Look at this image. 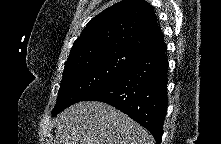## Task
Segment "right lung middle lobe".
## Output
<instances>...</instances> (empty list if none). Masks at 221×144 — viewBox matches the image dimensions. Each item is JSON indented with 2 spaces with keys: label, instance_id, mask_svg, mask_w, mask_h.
<instances>
[{
  "label": "right lung middle lobe",
  "instance_id": "1",
  "mask_svg": "<svg viewBox=\"0 0 221 144\" xmlns=\"http://www.w3.org/2000/svg\"><path fill=\"white\" fill-rule=\"evenodd\" d=\"M140 57L127 51L110 50L66 64L52 115L83 101L89 94L122 74Z\"/></svg>",
  "mask_w": 221,
  "mask_h": 144
}]
</instances>
